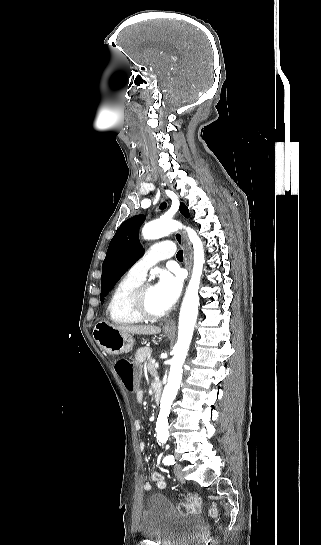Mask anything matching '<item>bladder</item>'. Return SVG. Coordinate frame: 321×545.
<instances>
[{
    "instance_id": "1",
    "label": "bladder",
    "mask_w": 321,
    "mask_h": 545,
    "mask_svg": "<svg viewBox=\"0 0 321 545\" xmlns=\"http://www.w3.org/2000/svg\"><path fill=\"white\" fill-rule=\"evenodd\" d=\"M202 526L195 514L173 511L162 495H153L142 514L140 530L146 540L160 545H188Z\"/></svg>"
}]
</instances>
